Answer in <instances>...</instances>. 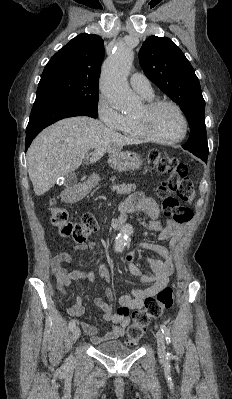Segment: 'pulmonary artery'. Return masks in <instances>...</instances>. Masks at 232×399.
I'll list each match as a JSON object with an SVG mask.
<instances>
[{
  "label": "pulmonary artery",
  "mask_w": 232,
  "mask_h": 399,
  "mask_svg": "<svg viewBox=\"0 0 232 399\" xmlns=\"http://www.w3.org/2000/svg\"><path fill=\"white\" fill-rule=\"evenodd\" d=\"M146 80V73H131L130 84H132L136 89V96L152 97L153 96V83Z\"/></svg>",
  "instance_id": "e3ab8cb5"
}]
</instances>
